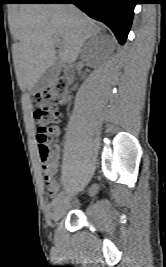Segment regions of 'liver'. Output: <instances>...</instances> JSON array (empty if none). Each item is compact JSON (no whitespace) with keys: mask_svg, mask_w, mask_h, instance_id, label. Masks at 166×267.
<instances>
[{"mask_svg":"<svg viewBox=\"0 0 166 267\" xmlns=\"http://www.w3.org/2000/svg\"><path fill=\"white\" fill-rule=\"evenodd\" d=\"M100 31L93 19L72 4L20 5L13 28L19 40L15 70L20 88L31 91L56 58L62 64L73 63L84 42ZM56 37L63 41L58 52Z\"/></svg>","mask_w":166,"mask_h":267,"instance_id":"6515ba94","label":"liver"}]
</instances>
